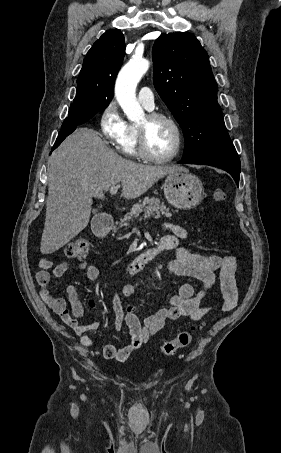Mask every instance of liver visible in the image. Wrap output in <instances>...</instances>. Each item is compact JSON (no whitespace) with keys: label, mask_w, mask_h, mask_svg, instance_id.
I'll return each mask as SVG.
<instances>
[{"label":"liver","mask_w":281,"mask_h":453,"mask_svg":"<svg viewBox=\"0 0 281 453\" xmlns=\"http://www.w3.org/2000/svg\"><path fill=\"white\" fill-rule=\"evenodd\" d=\"M46 218L40 251L50 255L67 245L89 222L92 196L122 184V196L137 198L159 178L185 166H151L122 158L94 128H76L50 156Z\"/></svg>","instance_id":"6515ba94"}]
</instances>
